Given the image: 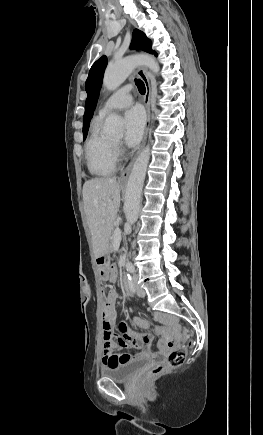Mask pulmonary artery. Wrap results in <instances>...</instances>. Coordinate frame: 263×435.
Segmentation results:
<instances>
[{"label":"pulmonary artery","mask_w":263,"mask_h":435,"mask_svg":"<svg viewBox=\"0 0 263 435\" xmlns=\"http://www.w3.org/2000/svg\"><path fill=\"white\" fill-rule=\"evenodd\" d=\"M131 87L125 86L117 90L102 105L99 110V116L104 117L114 110L124 109L132 104Z\"/></svg>","instance_id":"e3ab8cb5"}]
</instances>
